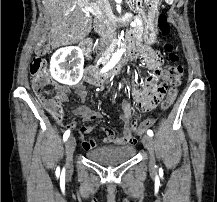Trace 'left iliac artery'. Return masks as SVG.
Returning a JSON list of instances; mask_svg holds the SVG:
<instances>
[{"label": "left iliac artery", "instance_id": "44dca946", "mask_svg": "<svg viewBox=\"0 0 217 202\" xmlns=\"http://www.w3.org/2000/svg\"><path fill=\"white\" fill-rule=\"evenodd\" d=\"M147 134H148L150 137H152V136H153V131L149 129V130L147 131Z\"/></svg>", "mask_w": 217, "mask_h": 202}]
</instances>
